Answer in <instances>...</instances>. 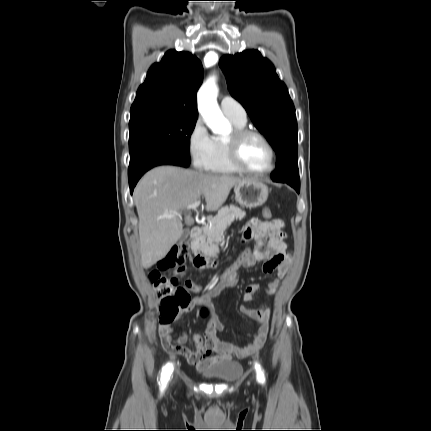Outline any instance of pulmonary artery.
<instances>
[{
  "label": "pulmonary artery",
  "instance_id": "1",
  "mask_svg": "<svg viewBox=\"0 0 431 431\" xmlns=\"http://www.w3.org/2000/svg\"><path fill=\"white\" fill-rule=\"evenodd\" d=\"M220 107L227 117L238 122H246L247 115L244 107L233 97L224 96L220 101Z\"/></svg>",
  "mask_w": 431,
  "mask_h": 431
}]
</instances>
